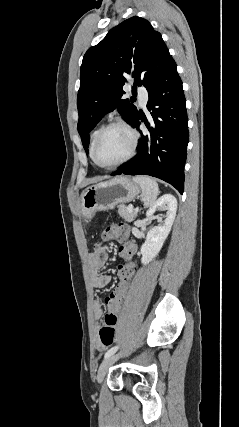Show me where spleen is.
<instances>
[{"instance_id":"obj_1","label":"spleen","mask_w":239,"mask_h":427,"mask_svg":"<svg viewBox=\"0 0 239 427\" xmlns=\"http://www.w3.org/2000/svg\"><path fill=\"white\" fill-rule=\"evenodd\" d=\"M133 180L138 183L142 189L141 199L145 207H151L159 195L157 182L148 176H136Z\"/></svg>"}]
</instances>
